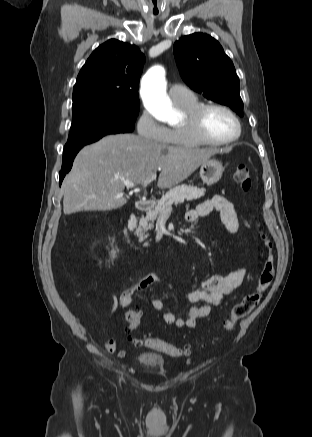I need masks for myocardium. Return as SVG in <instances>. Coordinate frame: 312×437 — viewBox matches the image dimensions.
<instances>
[{
	"label": "myocardium",
	"mask_w": 312,
	"mask_h": 437,
	"mask_svg": "<svg viewBox=\"0 0 312 437\" xmlns=\"http://www.w3.org/2000/svg\"><path fill=\"white\" fill-rule=\"evenodd\" d=\"M211 109H220L232 117L236 124V132L234 135L224 140H214L205 134L203 130V119L206 113ZM182 126L197 142L211 146H224L231 144L240 138L242 132V125L238 115L231 108L220 103L201 104L189 113L184 114Z\"/></svg>",
	"instance_id": "1"
}]
</instances>
